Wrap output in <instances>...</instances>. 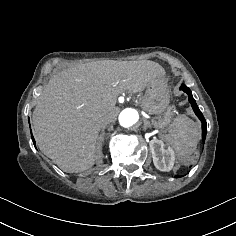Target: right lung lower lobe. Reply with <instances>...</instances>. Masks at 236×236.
Instances as JSON below:
<instances>
[{"mask_svg": "<svg viewBox=\"0 0 236 236\" xmlns=\"http://www.w3.org/2000/svg\"><path fill=\"white\" fill-rule=\"evenodd\" d=\"M31 137H32L33 143H34V145H35V140H34V138H33V136H32V135H31Z\"/></svg>", "mask_w": 236, "mask_h": 236, "instance_id": "obj_1", "label": "right lung lower lobe"}]
</instances>
